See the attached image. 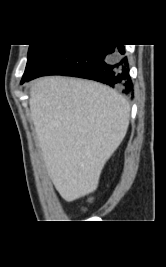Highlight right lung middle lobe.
<instances>
[{
    "mask_svg": "<svg viewBox=\"0 0 166 267\" xmlns=\"http://www.w3.org/2000/svg\"><path fill=\"white\" fill-rule=\"evenodd\" d=\"M52 47V45L44 44V45H30L28 51V60L24 75L22 77V81L25 80L34 70L36 65L42 59V57L46 54V52Z\"/></svg>",
    "mask_w": 166,
    "mask_h": 267,
    "instance_id": "right-lung-middle-lobe-1",
    "label": "right lung middle lobe"
}]
</instances>
